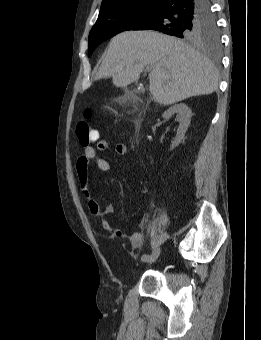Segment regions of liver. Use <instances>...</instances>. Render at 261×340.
Returning a JSON list of instances; mask_svg holds the SVG:
<instances>
[{"label":"liver","instance_id":"6515ba94","mask_svg":"<svg viewBox=\"0 0 261 340\" xmlns=\"http://www.w3.org/2000/svg\"><path fill=\"white\" fill-rule=\"evenodd\" d=\"M148 66L150 92L162 105L218 88L217 70L207 57L180 39L154 31H126L113 37L96 78L112 77L115 86L127 87Z\"/></svg>","mask_w":261,"mask_h":340}]
</instances>
